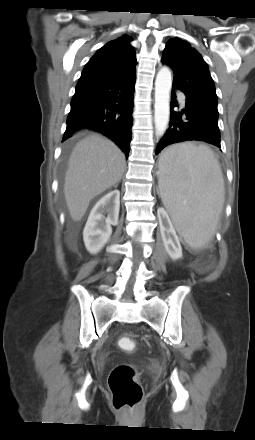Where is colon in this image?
<instances>
[{"label": "colon", "mask_w": 255, "mask_h": 440, "mask_svg": "<svg viewBox=\"0 0 255 440\" xmlns=\"http://www.w3.org/2000/svg\"><path fill=\"white\" fill-rule=\"evenodd\" d=\"M118 346L125 351H132L136 344L129 336L118 339ZM108 386L112 396V404L116 409H134L143 397V390L136 368L129 364L115 366L108 379Z\"/></svg>", "instance_id": "1"}]
</instances>
